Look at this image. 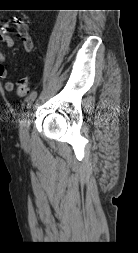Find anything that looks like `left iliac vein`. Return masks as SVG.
Returning <instances> with one entry per match:
<instances>
[{
  "label": "left iliac vein",
  "instance_id": "1",
  "mask_svg": "<svg viewBox=\"0 0 138 253\" xmlns=\"http://www.w3.org/2000/svg\"><path fill=\"white\" fill-rule=\"evenodd\" d=\"M29 128H30V119H29V114H28L27 118H25L23 122L21 123L20 129H19V137L22 143H26L30 139Z\"/></svg>",
  "mask_w": 138,
  "mask_h": 253
}]
</instances>
